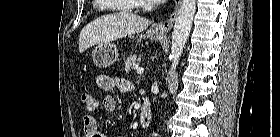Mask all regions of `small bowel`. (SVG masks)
Here are the masks:
<instances>
[{
	"label": "small bowel",
	"instance_id": "small-bowel-1",
	"mask_svg": "<svg viewBox=\"0 0 280 137\" xmlns=\"http://www.w3.org/2000/svg\"><path fill=\"white\" fill-rule=\"evenodd\" d=\"M97 84L100 88L104 90L117 89L121 91H128L129 84L127 81L123 80L118 76H109L106 74H100L97 76ZM117 103L116 99L108 95L103 100V108L107 113H111L116 109ZM82 124L86 137H105L101 133L97 126L96 118L93 115L86 114L82 117Z\"/></svg>",
	"mask_w": 280,
	"mask_h": 137
}]
</instances>
